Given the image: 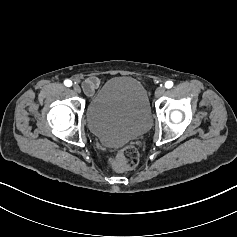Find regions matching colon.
Wrapping results in <instances>:
<instances>
[{"label": "colon", "mask_w": 237, "mask_h": 237, "mask_svg": "<svg viewBox=\"0 0 237 237\" xmlns=\"http://www.w3.org/2000/svg\"><path fill=\"white\" fill-rule=\"evenodd\" d=\"M139 162V152L134 146H126L109 158L111 167L117 171L133 169Z\"/></svg>", "instance_id": "obj_1"}]
</instances>
